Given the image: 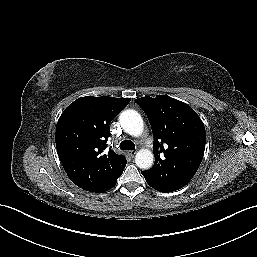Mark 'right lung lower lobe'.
I'll use <instances>...</instances> for the list:
<instances>
[{"label":"right lung lower lobe","instance_id":"98d812e1","mask_svg":"<svg viewBox=\"0 0 257 257\" xmlns=\"http://www.w3.org/2000/svg\"><path fill=\"white\" fill-rule=\"evenodd\" d=\"M122 173H123V171H122ZM122 173L119 176H117L114 180H112V182H110L109 184H107L103 187L94 189V190H90V192L102 193V192H105L107 190H110L111 188H113L116 185L117 179H118V177H120L122 175Z\"/></svg>","mask_w":257,"mask_h":257}]
</instances>
